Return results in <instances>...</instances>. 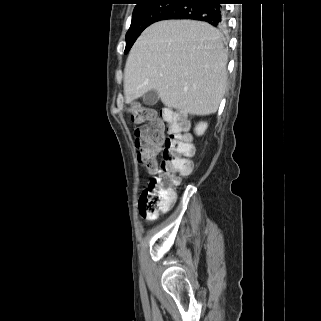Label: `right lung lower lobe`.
Wrapping results in <instances>:
<instances>
[{
    "instance_id": "right-lung-lower-lobe-1",
    "label": "right lung lower lobe",
    "mask_w": 321,
    "mask_h": 321,
    "mask_svg": "<svg viewBox=\"0 0 321 321\" xmlns=\"http://www.w3.org/2000/svg\"><path fill=\"white\" fill-rule=\"evenodd\" d=\"M225 0H181L171 9L158 18L166 19H192L207 22L214 27L225 26V9L221 4Z\"/></svg>"
}]
</instances>
